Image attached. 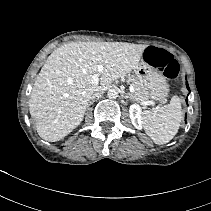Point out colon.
Here are the masks:
<instances>
[{
	"label": "colon",
	"instance_id": "colon-1",
	"mask_svg": "<svg viewBox=\"0 0 211 211\" xmlns=\"http://www.w3.org/2000/svg\"><path fill=\"white\" fill-rule=\"evenodd\" d=\"M144 56L145 60L153 67L160 69L166 78L173 80L179 75L180 66L178 62L165 49L149 47Z\"/></svg>",
	"mask_w": 211,
	"mask_h": 211
}]
</instances>
